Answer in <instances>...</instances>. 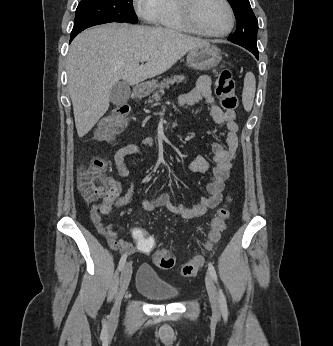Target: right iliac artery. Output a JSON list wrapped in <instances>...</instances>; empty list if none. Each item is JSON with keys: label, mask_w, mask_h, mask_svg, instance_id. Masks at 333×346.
<instances>
[{"label": "right iliac artery", "mask_w": 333, "mask_h": 346, "mask_svg": "<svg viewBox=\"0 0 333 346\" xmlns=\"http://www.w3.org/2000/svg\"><path fill=\"white\" fill-rule=\"evenodd\" d=\"M127 254L124 253L119 261L118 270L121 271L126 263ZM106 320L103 321V327L106 328Z\"/></svg>", "instance_id": "82829eb1"}]
</instances>
